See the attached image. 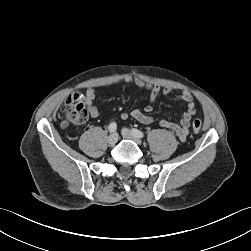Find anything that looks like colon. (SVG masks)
Listing matches in <instances>:
<instances>
[{
  "label": "colon",
  "mask_w": 251,
  "mask_h": 251,
  "mask_svg": "<svg viewBox=\"0 0 251 251\" xmlns=\"http://www.w3.org/2000/svg\"><path fill=\"white\" fill-rule=\"evenodd\" d=\"M63 113L66 119L62 122L64 127L69 123L82 124L88 118V111L84 105V96L82 93L75 92L68 96L63 106ZM193 131L198 133L202 129V122L199 119H195L192 122Z\"/></svg>",
  "instance_id": "5ec220e1"
}]
</instances>
